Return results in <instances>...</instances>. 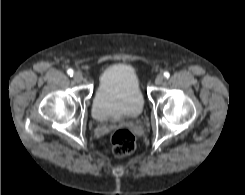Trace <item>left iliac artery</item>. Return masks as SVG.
<instances>
[{"mask_svg": "<svg viewBox=\"0 0 245 195\" xmlns=\"http://www.w3.org/2000/svg\"><path fill=\"white\" fill-rule=\"evenodd\" d=\"M164 76H165L166 78H169V76H170L169 72H164Z\"/></svg>", "mask_w": 245, "mask_h": 195, "instance_id": "1", "label": "left iliac artery"}]
</instances>
